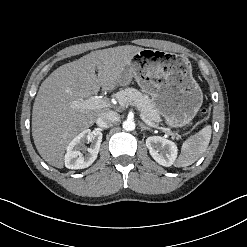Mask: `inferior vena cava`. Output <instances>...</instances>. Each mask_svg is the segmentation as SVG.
Wrapping results in <instances>:
<instances>
[{"mask_svg": "<svg viewBox=\"0 0 247 247\" xmlns=\"http://www.w3.org/2000/svg\"><path fill=\"white\" fill-rule=\"evenodd\" d=\"M118 120V113L109 110L99 115V117L96 119V124L100 128H109L113 126V124L116 123Z\"/></svg>", "mask_w": 247, "mask_h": 247, "instance_id": "obj_1", "label": "inferior vena cava"}]
</instances>
